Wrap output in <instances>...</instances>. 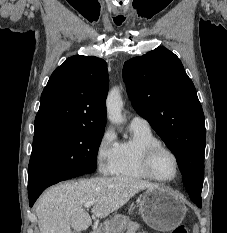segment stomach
<instances>
[{
    "mask_svg": "<svg viewBox=\"0 0 227 233\" xmlns=\"http://www.w3.org/2000/svg\"><path fill=\"white\" fill-rule=\"evenodd\" d=\"M136 206L146 224L157 231L173 230L181 224L187 211L176 194L161 187L146 189L138 197ZM127 221V217L115 215L102 226L99 233H123Z\"/></svg>",
    "mask_w": 227,
    "mask_h": 233,
    "instance_id": "obj_1",
    "label": "stomach"
}]
</instances>
